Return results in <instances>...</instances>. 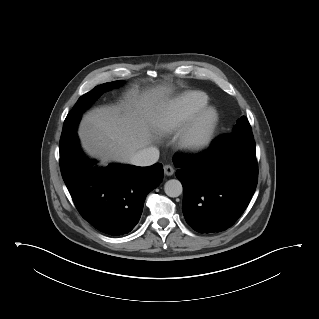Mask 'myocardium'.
I'll use <instances>...</instances> for the list:
<instances>
[{
    "label": "myocardium",
    "instance_id": "f54148a6",
    "mask_svg": "<svg viewBox=\"0 0 319 319\" xmlns=\"http://www.w3.org/2000/svg\"><path fill=\"white\" fill-rule=\"evenodd\" d=\"M219 124V111L214 106L206 105L177 135L176 146L186 154H196L206 150L211 145Z\"/></svg>",
    "mask_w": 319,
    "mask_h": 319
}]
</instances>
